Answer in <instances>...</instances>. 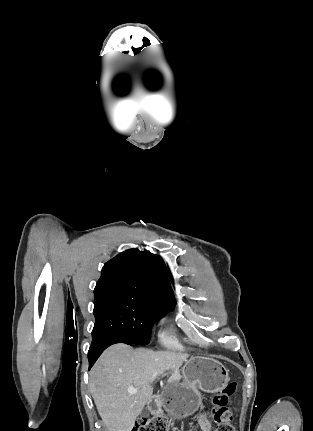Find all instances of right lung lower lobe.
I'll list each match as a JSON object with an SVG mask.
<instances>
[{
	"label": "right lung lower lobe",
	"mask_w": 313,
	"mask_h": 431,
	"mask_svg": "<svg viewBox=\"0 0 313 431\" xmlns=\"http://www.w3.org/2000/svg\"><path fill=\"white\" fill-rule=\"evenodd\" d=\"M116 343H125L129 345H133V343L127 340H124L121 338H115V337H106L96 342H92L88 352L89 368L93 366L95 361L98 359V357L107 347Z\"/></svg>",
	"instance_id": "1"
}]
</instances>
